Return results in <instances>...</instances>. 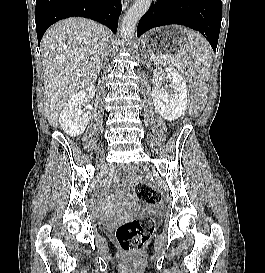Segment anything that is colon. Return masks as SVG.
I'll return each mask as SVG.
<instances>
[{
  "instance_id": "colon-1",
  "label": "colon",
  "mask_w": 265,
  "mask_h": 273,
  "mask_svg": "<svg viewBox=\"0 0 265 273\" xmlns=\"http://www.w3.org/2000/svg\"><path fill=\"white\" fill-rule=\"evenodd\" d=\"M127 175L134 180L136 198L147 205H155L161 200V194L152 185L137 181L138 173L134 168L127 171ZM155 229L154 221L150 217L134 219L119 225L115 230V239L123 250H140Z\"/></svg>"
}]
</instances>
